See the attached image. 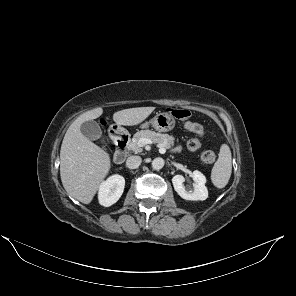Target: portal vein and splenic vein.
Returning <instances> with one entry per match:
<instances>
[{
    "mask_svg": "<svg viewBox=\"0 0 296 296\" xmlns=\"http://www.w3.org/2000/svg\"><path fill=\"white\" fill-rule=\"evenodd\" d=\"M151 143H152V141L147 138H141L138 142L140 147H143V146H145L147 144H151ZM159 152L163 154L166 152V149L164 147H160Z\"/></svg>",
    "mask_w": 296,
    "mask_h": 296,
    "instance_id": "1",
    "label": "portal vein and splenic vein"
}]
</instances>
